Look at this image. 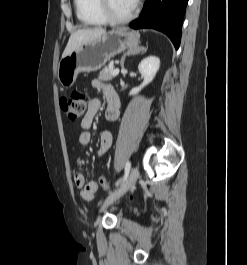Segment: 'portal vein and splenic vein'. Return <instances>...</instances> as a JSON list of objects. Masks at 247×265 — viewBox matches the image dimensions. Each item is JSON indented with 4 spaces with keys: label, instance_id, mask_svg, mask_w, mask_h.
<instances>
[{
    "label": "portal vein and splenic vein",
    "instance_id": "portal-vein-and-splenic-vein-1",
    "mask_svg": "<svg viewBox=\"0 0 247 265\" xmlns=\"http://www.w3.org/2000/svg\"><path fill=\"white\" fill-rule=\"evenodd\" d=\"M118 73H119V69H118V68H115V69L113 70V72H112L113 76L118 75Z\"/></svg>",
    "mask_w": 247,
    "mask_h": 265
}]
</instances>
